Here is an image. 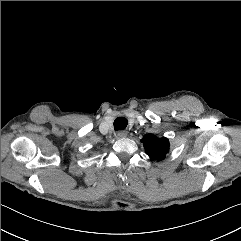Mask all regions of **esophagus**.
<instances>
[{"mask_svg":"<svg viewBox=\"0 0 241 241\" xmlns=\"http://www.w3.org/2000/svg\"><path fill=\"white\" fill-rule=\"evenodd\" d=\"M117 136H118L119 138L126 137V136H127V131H125V130H120V131L117 132Z\"/></svg>","mask_w":241,"mask_h":241,"instance_id":"1","label":"esophagus"}]
</instances>
